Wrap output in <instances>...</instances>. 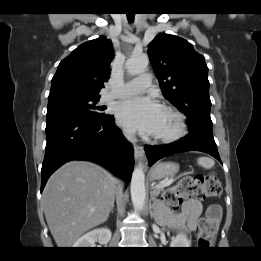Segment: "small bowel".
<instances>
[{"mask_svg":"<svg viewBox=\"0 0 261 261\" xmlns=\"http://www.w3.org/2000/svg\"><path fill=\"white\" fill-rule=\"evenodd\" d=\"M202 212V204L196 200H187L184 202L181 212L171 213L169 225L179 230L186 227L190 231L197 228V220ZM221 209L218 205H210L208 207V214L213 216L216 220L221 217Z\"/></svg>","mask_w":261,"mask_h":261,"instance_id":"small-bowel-1","label":"small bowel"}]
</instances>
